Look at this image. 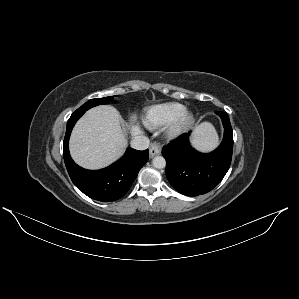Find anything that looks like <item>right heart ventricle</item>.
Here are the masks:
<instances>
[{
  "instance_id": "obj_1",
  "label": "right heart ventricle",
  "mask_w": 299,
  "mask_h": 299,
  "mask_svg": "<svg viewBox=\"0 0 299 299\" xmlns=\"http://www.w3.org/2000/svg\"><path fill=\"white\" fill-rule=\"evenodd\" d=\"M183 110H185V106L177 102L153 105L145 111L144 121L151 128L163 126L169 124Z\"/></svg>"
}]
</instances>
